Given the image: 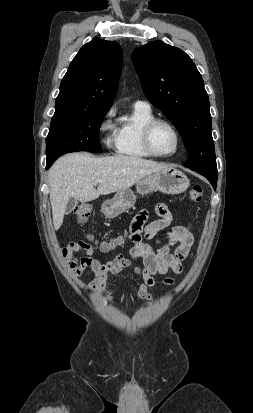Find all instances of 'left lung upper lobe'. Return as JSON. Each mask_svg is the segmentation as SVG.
<instances>
[{"instance_id": "1", "label": "left lung upper lobe", "mask_w": 253, "mask_h": 413, "mask_svg": "<svg viewBox=\"0 0 253 413\" xmlns=\"http://www.w3.org/2000/svg\"><path fill=\"white\" fill-rule=\"evenodd\" d=\"M132 60L144 94L175 125L189 152L187 168L217 175L209 98L191 58L162 41L135 49Z\"/></svg>"}]
</instances>
